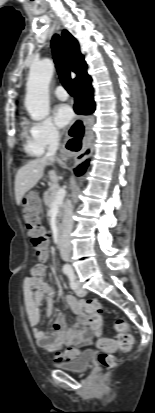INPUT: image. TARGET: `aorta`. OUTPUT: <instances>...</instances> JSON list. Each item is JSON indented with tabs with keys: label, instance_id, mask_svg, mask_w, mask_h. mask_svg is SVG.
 I'll return each instance as SVG.
<instances>
[{
	"label": "aorta",
	"instance_id": "obj_1",
	"mask_svg": "<svg viewBox=\"0 0 155 413\" xmlns=\"http://www.w3.org/2000/svg\"><path fill=\"white\" fill-rule=\"evenodd\" d=\"M53 71L54 65L50 59L35 63L30 68L25 107L33 120H43L49 114V83Z\"/></svg>",
	"mask_w": 155,
	"mask_h": 413
}]
</instances>
